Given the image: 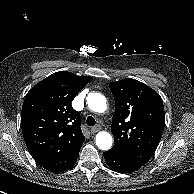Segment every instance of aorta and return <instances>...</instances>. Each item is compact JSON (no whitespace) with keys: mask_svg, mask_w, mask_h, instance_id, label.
<instances>
[{"mask_svg":"<svg viewBox=\"0 0 194 194\" xmlns=\"http://www.w3.org/2000/svg\"><path fill=\"white\" fill-rule=\"evenodd\" d=\"M86 100L89 109L94 112L102 113L107 108L106 99L100 93H89ZM96 145L103 151L109 150L112 146V136L105 131L99 132L96 135Z\"/></svg>","mask_w":194,"mask_h":194,"instance_id":"aorta-1","label":"aorta"}]
</instances>
